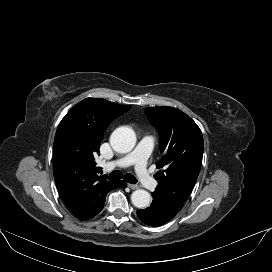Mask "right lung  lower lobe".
Listing matches in <instances>:
<instances>
[{
  "label": "right lung lower lobe",
  "instance_id": "98d812e1",
  "mask_svg": "<svg viewBox=\"0 0 272 272\" xmlns=\"http://www.w3.org/2000/svg\"><path fill=\"white\" fill-rule=\"evenodd\" d=\"M127 186V184L124 182V181H122V180H116V182H115V187H114V189L115 188H125ZM105 203V202H104ZM103 203V204H104ZM103 204H102V208H103ZM102 210V209H101ZM100 210V211H101Z\"/></svg>",
  "mask_w": 272,
  "mask_h": 272
}]
</instances>
